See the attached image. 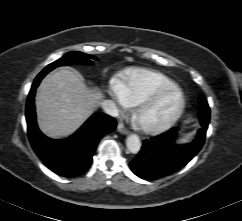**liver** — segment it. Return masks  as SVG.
<instances>
[{"label": "liver", "instance_id": "1", "mask_svg": "<svg viewBox=\"0 0 242 221\" xmlns=\"http://www.w3.org/2000/svg\"><path fill=\"white\" fill-rule=\"evenodd\" d=\"M98 88H88L76 71L61 68L40 83L35 105L40 130L50 138L73 134L103 101Z\"/></svg>", "mask_w": 242, "mask_h": 221}]
</instances>
